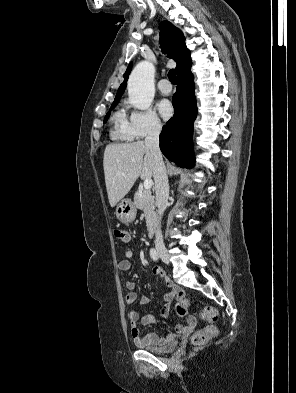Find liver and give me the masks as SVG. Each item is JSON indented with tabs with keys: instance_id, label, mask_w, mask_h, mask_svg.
I'll use <instances>...</instances> for the list:
<instances>
[{
	"instance_id": "liver-1",
	"label": "liver",
	"mask_w": 296,
	"mask_h": 393,
	"mask_svg": "<svg viewBox=\"0 0 296 393\" xmlns=\"http://www.w3.org/2000/svg\"><path fill=\"white\" fill-rule=\"evenodd\" d=\"M103 167L109 203L114 207L138 177L154 176V157L144 141L111 144L104 151Z\"/></svg>"
}]
</instances>
